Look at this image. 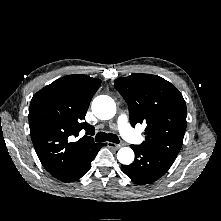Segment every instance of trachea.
Segmentation results:
<instances>
[{"label":"trachea","instance_id":"1","mask_svg":"<svg viewBox=\"0 0 221 221\" xmlns=\"http://www.w3.org/2000/svg\"><path fill=\"white\" fill-rule=\"evenodd\" d=\"M95 141L96 142H105V141H110L113 143H119V138L116 134L113 133H105V132H99L95 136Z\"/></svg>","mask_w":221,"mask_h":221}]
</instances>
